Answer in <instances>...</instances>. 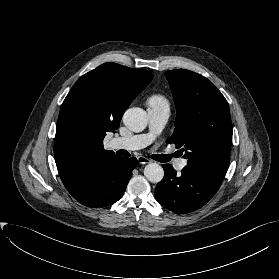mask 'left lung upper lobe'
I'll use <instances>...</instances> for the list:
<instances>
[{"mask_svg":"<svg viewBox=\"0 0 279 279\" xmlns=\"http://www.w3.org/2000/svg\"><path fill=\"white\" fill-rule=\"evenodd\" d=\"M177 109L174 143L185 152V172L220 186L230 163L232 123L225 97L204 76L184 69L164 73Z\"/></svg>","mask_w":279,"mask_h":279,"instance_id":"5c2ea615","label":"left lung upper lobe"}]
</instances>
